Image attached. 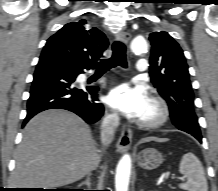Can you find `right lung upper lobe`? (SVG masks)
<instances>
[{
    "mask_svg": "<svg viewBox=\"0 0 218 191\" xmlns=\"http://www.w3.org/2000/svg\"><path fill=\"white\" fill-rule=\"evenodd\" d=\"M107 47L106 36L97 28H90L82 19L66 24L51 36L41 57H53L81 68L95 67Z\"/></svg>",
    "mask_w": 218,
    "mask_h": 191,
    "instance_id": "obj_1",
    "label": "right lung upper lobe"
}]
</instances>
